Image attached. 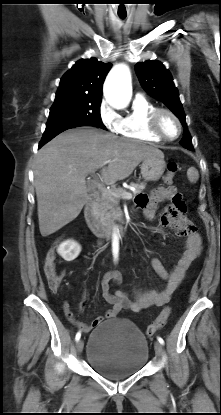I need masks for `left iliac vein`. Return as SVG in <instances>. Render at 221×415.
I'll return each mask as SVG.
<instances>
[{"label":"left iliac vein","mask_w":221,"mask_h":415,"mask_svg":"<svg viewBox=\"0 0 221 415\" xmlns=\"http://www.w3.org/2000/svg\"><path fill=\"white\" fill-rule=\"evenodd\" d=\"M155 353L160 356L162 354L163 348L159 342H155L154 344Z\"/></svg>","instance_id":"obj_1"}]
</instances>
